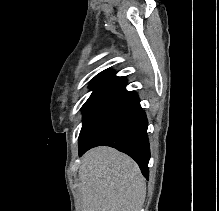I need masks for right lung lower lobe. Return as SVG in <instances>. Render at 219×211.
<instances>
[{
  "instance_id": "98d812e1",
  "label": "right lung lower lobe",
  "mask_w": 219,
  "mask_h": 211,
  "mask_svg": "<svg viewBox=\"0 0 219 211\" xmlns=\"http://www.w3.org/2000/svg\"><path fill=\"white\" fill-rule=\"evenodd\" d=\"M122 81L111 90L79 136V156L96 146H110L131 156L148 179V121L140 100Z\"/></svg>"
}]
</instances>
